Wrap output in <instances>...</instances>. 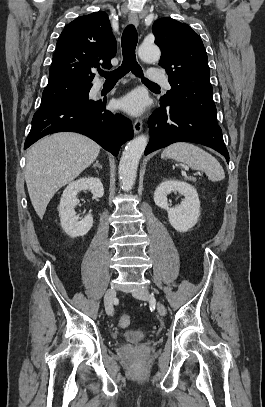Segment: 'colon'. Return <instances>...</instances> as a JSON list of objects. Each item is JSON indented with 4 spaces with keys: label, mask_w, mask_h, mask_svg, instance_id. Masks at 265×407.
<instances>
[{
    "label": "colon",
    "mask_w": 265,
    "mask_h": 407,
    "mask_svg": "<svg viewBox=\"0 0 265 407\" xmlns=\"http://www.w3.org/2000/svg\"><path fill=\"white\" fill-rule=\"evenodd\" d=\"M131 318L128 314H123L118 319V326L121 328H126L129 326Z\"/></svg>",
    "instance_id": "obj_1"
}]
</instances>
